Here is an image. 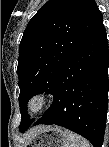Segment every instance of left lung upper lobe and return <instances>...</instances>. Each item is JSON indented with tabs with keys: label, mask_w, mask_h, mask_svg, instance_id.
Here are the masks:
<instances>
[{
	"label": "left lung upper lobe",
	"mask_w": 109,
	"mask_h": 147,
	"mask_svg": "<svg viewBox=\"0 0 109 147\" xmlns=\"http://www.w3.org/2000/svg\"><path fill=\"white\" fill-rule=\"evenodd\" d=\"M102 20L94 0H50L31 18L19 46L20 130L34 121L27 114L28 100L53 93L68 59Z\"/></svg>",
	"instance_id": "left-lung-upper-lobe-1"
}]
</instances>
